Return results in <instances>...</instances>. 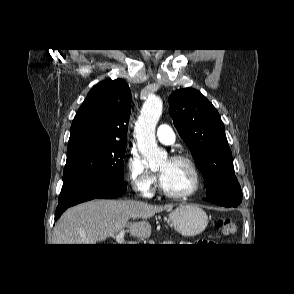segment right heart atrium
Returning <instances> with one entry per match:
<instances>
[{
  "mask_svg": "<svg viewBox=\"0 0 294 294\" xmlns=\"http://www.w3.org/2000/svg\"><path fill=\"white\" fill-rule=\"evenodd\" d=\"M126 167L127 179L133 189L143 197H149L156 184V178L146 169L142 158L132 152L127 159Z\"/></svg>",
  "mask_w": 294,
  "mask_h": 294,
  "instance_id": "right-heart-atrium-1",
  "label": "right heart atrium"
}]
</instances>
